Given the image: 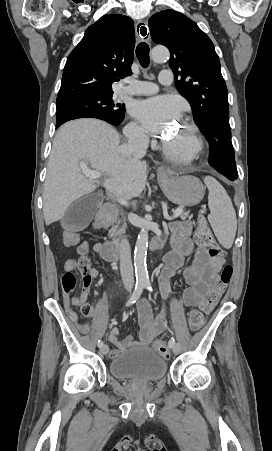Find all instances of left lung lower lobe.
I'll use <instances>...</instances> for the list:
<instances>
[{
    "instance_id": "left-lung-lower-lobe-1",
    "label": "left lung lower lobe",
    "mask_w": 272,
    "mask_h": 451,
    "mask_svg": "<svg viewBox=\"0 0 272 451\" xmlns=\"http://www.w3.org/2000/svg\"><path fill=\"white\" fill-rule=\"evenodd\" d=\"M213 168V167H212ZM213 170L214 171H216V172H218V173H220V174H222L221 172H219V171H217L215 168H213ZM222 175H224V174H222ZM225 177H227L228 179H230V180H235V179H237V177H232V176H227V175H224Z\"/></svg>"
}]
</instances>
